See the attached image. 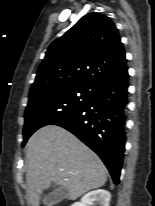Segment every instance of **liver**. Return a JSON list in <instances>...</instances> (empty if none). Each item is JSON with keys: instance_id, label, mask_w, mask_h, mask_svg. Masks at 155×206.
<instances>
[{"instance_id": "6515ba94", "label": "liver", "mask_w": 155, "mask_h": 206, "mask_svg": "<svg viewBox=\"0 0 155 206\" xmlns=\"http://www.w3.org/2000/svg\"><path fill=\"white\" fill-rule=\"evenodd\" d=\"M26 175L28 203L39 206L44 190L54 182L75 200L91 189L102 187L107 169L100 158L67 130L48 125L28 140Z\"/></svg>"}]
</instances>
